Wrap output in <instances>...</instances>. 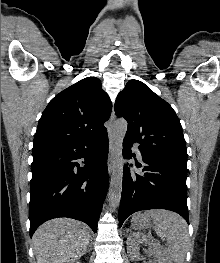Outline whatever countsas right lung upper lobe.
Segmentation results:
<instances>
[{
	"label": "right lung upper lobe",
	"instance_id": "1",
	"mask_svg": "<svg viewBox=\"0 0 220 263\" xmlns=\"http://www.w3.org/2000/svg\"><path fill=\"white\" fill-rule=\"evenodd\" d=\"M112 104L96 77H87L57 94L39 120L34 147L93 138L106 132Z\"/></svg>",
	"mask_w": 220,
	"mask_h": 263
}]
</instances>
